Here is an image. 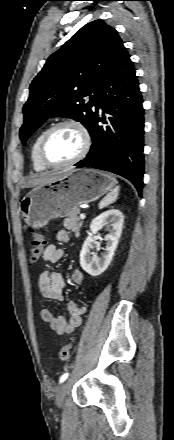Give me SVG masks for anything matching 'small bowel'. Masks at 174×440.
<instances>
[{
	"mask_svg": "<svg viewBox=\"0 0 174 440\" xmlns=\"http://www.w3.org/2000/svg\"><path fill=\"white\" fill-rule=\"evenodd\" d=\"M56 238L60 243H67L70 239L66 231H59ZM41 256L45 262L57 263L63 258L64 251L56 245L50 244L44 248ZM71 277L76 285L80 286L84 283V275L80 270H74ZM39 289L46 298L58 301L64 300L65 281L59 272L43 271L39 277ZM67 311L69 313V320H66L61 315H54L47 308L40 310V317L57 334H71L82 324V316L86 311V307L71 300L67 303Z\"/></svg>",
	"mask_w": 174,
	"mask_h": 440,
	"instance_id": "c3829d8e",
	"label": "small bowel"
}]
</instances>
